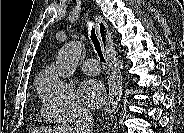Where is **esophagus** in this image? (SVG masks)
<instances>
[{
    "label": "esophagus",
    "instance_id": "1",
    "mask_svg": "<svg viewBox=\"0 0 184 133\" xmlns=\"http://www.w3.org/2000/svg\"><path fill=\"white\" fill-rule=\"evenodd\" d=\"M95 27L97 31L98 38L100 40V43L102 45V50L105 52V55L107 57L109 67L113 70L114 69V58H113V51H112V40L111 35L109 33L108 27L106 23L103 21V19L100 16H97L95 18ZM114 102L112 98H109L105 110L106 112H111L114 108Z\"/></svg>",
    "mask_w": 184,
    "mask_h": 133
}]
</instances>
